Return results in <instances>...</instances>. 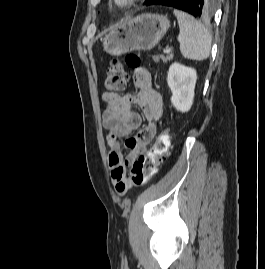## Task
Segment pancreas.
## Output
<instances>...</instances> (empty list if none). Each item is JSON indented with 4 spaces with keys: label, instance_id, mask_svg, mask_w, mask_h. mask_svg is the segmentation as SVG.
I'll return each instance as SVG.
<instances>
[{
    "label": "pancreas",
    "instance_id": "cf45deb5",
    "mask_svg": "<svg viewBox=\"0 0 265 269\" xmlns=\"http://www.w3.org/2000/svg\"><path fill=\"white\" fill-rule=\"evenodd\" d=\"M152 58H153V60L155 62H159V60L161 59L164 63H166L167 61H171L173 59V54L168 53L166 56H164V55H159V56L155 55Z\"/></svg>",
    "mask_w": 265,
    "mask_h": 269
}]
</instances>
